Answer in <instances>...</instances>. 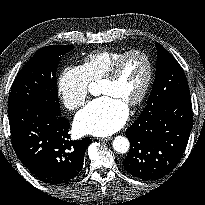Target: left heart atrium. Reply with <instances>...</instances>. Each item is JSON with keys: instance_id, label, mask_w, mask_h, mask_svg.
I'll return each mask as SVG.
<instances>
[{"instance_id": "left-heart-atrium-1", "label": "left heart atrium", "mask_w": 205, "mask_h": 205, "mask_svg": "<svg viewBox=\"0 0 205 205\" xmlns=\"http://www.w3.org/2000/svg\"><path fill=\"white\" fill-rule=\"evenodd\" d=\"M128 116L127 105L119 99L104 95L91 101L75 118L81 134L107 136L119 130Z\"/></svg>"}]
</instances>
